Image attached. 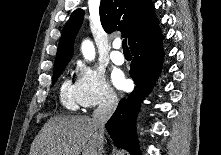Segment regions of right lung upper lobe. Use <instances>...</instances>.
<instances>
[{
	"instance_id": "1",
	"label": "right lung upper lobe",
	"mask_w": 221,
	"mask_h": 155,
	"mask_svg": "<svg viewBox=\"0 0 221 155\" xmlns=\"http://www.w3.org/2000/svg\"><path fill=\"white\" fill-rule=\"evenodd\" d=\"M100 20L104 30L123 32L129 46L134 40L158 23L151 0H101ZM84 11L75 10L66 22L58 45L54 69L67 65L73 56L75 36L83 21Z\"/></svg>"
}]
</instances>
